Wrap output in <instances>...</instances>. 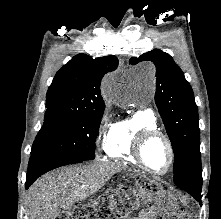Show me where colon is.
<instances>
[{"label":"colon","mask_w":221,"mask_h":219,"mask_svg":"<svg viewBox=\"0 0 221 219\" xmlns=\"http://www.w3.org/2000/svg\"><path fill=\"white\" fill-rule=\"evenodd\" d=\"M121 202L124 203L125 208L132 207L134 204L132 193L123 190L108 191L95 202L75 207L57 219H109L114 216L115 210ZM158 206L162 211L161 219H192L187 210L173 211L164 201Z\"/></svg>","instance_id":"5ec220e1"}]
</instances>
